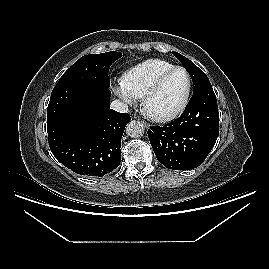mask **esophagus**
Instances as JSON below:
<instances>
[{
    "instance_id": "1",
    "label": "esophagus",
    "mask_w": 269,
    "mask_h": 269,
    "mask_svg": "<svg viewBox=\"0 0 269 269\" xmlns=\"http://www.w3.org/2000/svg\"><path fill=\"white\" fill-rule=\"evenodd\" d=\"M141 123L146 127L149 128V124L147 122H145L144 120H141Z\"/></svg>"
}]
</instances>
